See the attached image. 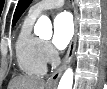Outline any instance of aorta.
Instances as JSON below:
<instances>
[{
  "instance_id": "aorta-1",
  "label": "aorta",
  "mask_w": 107,
  "mask_h": 89,
  "mask_svg": "<svg viewBox=\"0 0 107 89\" xmlns=\"http://www.w3.org/2000/svg\"><path fill=\"white\" fill-rule=\"evenodd\" d=\"M34 33L42 38H51L52 36V24L50 19L42 15L37 20L35 27H34ZM73 86V70L71 68H68L64 74L62 75L58 89H72Z\"/></svg>"
}]
</instances>
